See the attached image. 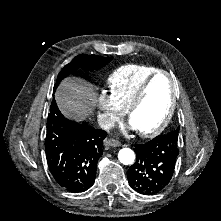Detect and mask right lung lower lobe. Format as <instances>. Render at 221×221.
I'll return each instance as SVG.
<instances>
[{
  "label": "right lung lower lobe",
  "instance_id": "1",
  "mask_svg": "<svg viewBox=\"0 0 221 221\" xmlns=\"http://www.w3.org/2000/svg\"><path fill=\"white\" fill-rule=\"evenodd\" d=\"M104 130L68 120L52 100L47 119L46 159L55 181L70 192H83L94 183L102 155Z\"/></svg>",
  "mask_w": 221,
  "mask_h": 221
}]
</instances>
